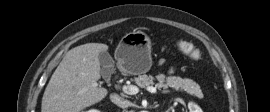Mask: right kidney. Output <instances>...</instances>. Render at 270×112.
Returning a JSON list of instances; mask_svg holds the SVG:
<instances>
[{
  "mask_svg": "<svg viewBox=\"0 0 270 112\" xmlns=\"http://www.w3.org/2000/svg\"><path fill=\"white\" fill-rule=\"evenodd\" d=\"M85 112H100V111H99V110H97V109H90V110L85 111Z\"/></svg>",
  "mask_w": 270,
  "mask_h": 112,
  "instance_id": "right-kidney-1",
  "label": "right kidney"
}]
</instances>
